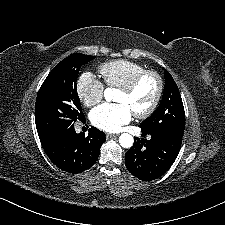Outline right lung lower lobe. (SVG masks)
<instances>
[{
	"label": "right lung lower lobe",
	"instance_id": "1",
	"mask_svg": "<svg viewBox=\"0 0 225 225\" xmlns=\"http://www.w3.org/2000/svg\"><path fill=\"white\" fill-rule=\"evenodd\" d=\"M40 141L45 153L58 168L77 174L95 164L106 138L104 132L95 127L89 129L87 137L83 133L77 134L71 127Z\"/></svg>",
	"mask_w": 225,
	"mask_h": 225
}]
</instances>
